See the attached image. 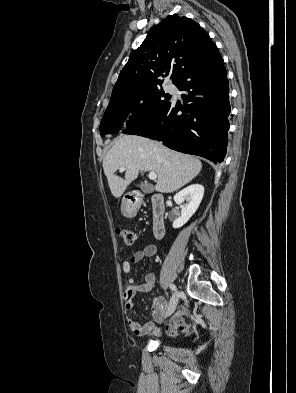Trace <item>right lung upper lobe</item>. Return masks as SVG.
Wrapping results in <instances>:
<instances>
[{"mask_svg":"<svg viewBox=\"0 0 296 393\" xmlns=\"http://www.w3.org/2000/svg\"><path fill=\"white\" fill-rule=\"evenodd\" d=\"M215 44L198 23L176 14L153 26L141 46L121 70L110 101L130 98L162 85L171 74L173 83Z\"/></svg>","mask_w":296,"mask_h":393,"instance_id":"right-lung-upper-lobe-1","label":"right lung upper lobe"}]
</instances>
